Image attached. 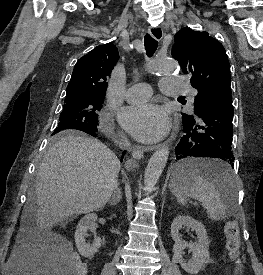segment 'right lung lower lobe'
I'll list each match as a JSON object with an SVG mask.
<instances>
[{
	"label": "right lung lower lobe",
	"instance_id": "1",
	"mask_svg": "<svg viewBox=\"0 0 263 275\" xmlns=\"http://www.w3.org/2000/svg\"><path fill=\"white\" fill-rule=\"evenodd\" d=\"M86 133H88V134H90V135H92V136H97V134H95V131H92V132H86ZM122 161V160H121Z\"/></svg>",
	"mask_w": 263,
	"mask_h": 275
}]
</instances>
